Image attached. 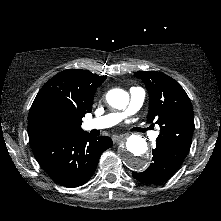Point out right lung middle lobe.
I'll use <instances>...</instances> for the list:
<instances>
[{
	"mask_svg": "<svg viewBox=\"0 0 221 221\" xmlns=\"http://www.w3.org/2000/svg\"><path fill=\"white\" fill-rule=\"evenodd\" d=\"M56 135H57V134H56L55 132H49V134H48V136H49L50 138L57 137Z\"/></svg>",
	"mask_w": 221,
	"mask_h": 221,
	"instance_id": "right-lung-middle-lobe-1",
	"label": "right lung middle lobe"
}]
</instances>
